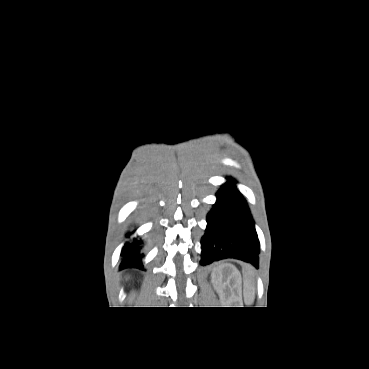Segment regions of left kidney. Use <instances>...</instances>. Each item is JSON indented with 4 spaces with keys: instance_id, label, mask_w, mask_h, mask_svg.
I'll return each instance as SVG.
<instances>
[{
    "instance_id": "left-kidney-1",
    "label": "left kidney",
    "mask_w": 369,
    "mask_h": 369,
    "mask_svg": "<svg viewBox=\"0 0 369 369\" xmlns=\"http://www.w3.org/2000/svg\"><path fill=\"white\" fill-rule=\"evenodd\" d=\"M240 281V273L232 265L218 266L211 273V282L219 293L227 288L238 291Z\"/></svg>"
}]
</instances>
